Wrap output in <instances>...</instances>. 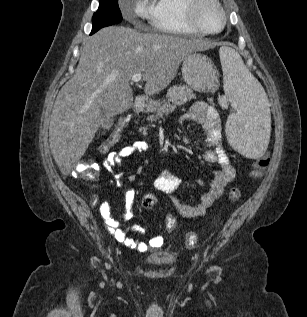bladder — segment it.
Masks as SVG:
<instances>
[{"label": "bladder", "instance_id": "obj_1", "mask_svg": "<svg viewBox=\"0 0 307 317\" xmlns=\"http://www.w3.org/2000/svg\"><path fill=\"white\" fill-rule=\"evenodd\" d=\"M172 255H152L146 258V262L152 265L165 266L174 262Z\"/></svg>", "mask_w": 307, "mask_h": 317}]
</instances>
